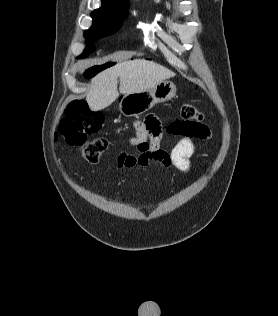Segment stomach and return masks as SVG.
<instances>
[{"label": "stomach", "instance_id": "obj_1", "mask_svg": "<svg viewBox=\"0 0 278 316\" xmlns=\"http://www.w3.org/2000/svg\"><path fill=\"white\" fill-rule=\"evenodd\" d=\"M175 95V84L170 81H162L142 92L125 94L120 99L119 109L125 116H138L150 110L157 103L172 99Z\"/></svg>", "mask_w": 278, "mask_h": 316}]
</instances>
